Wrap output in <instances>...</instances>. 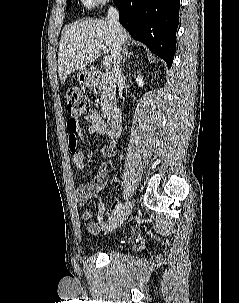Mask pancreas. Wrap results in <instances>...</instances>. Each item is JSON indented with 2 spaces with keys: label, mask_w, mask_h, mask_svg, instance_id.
<instances>
[{
  "label": "pancreas",
  "mask_w": 239,
  "mask_h": 303,
  "mask_svg": "<svg viewBox=\"0 0 239 303\" xmlns=\"http://www.w3.org/2000/svg\"><path fill=\"white\" fill-rule=\"evenodd\" d=\"M110 92L109 89L107 87H103L102 89V96L100 99V106H101V110L103 115L108 114L109 109H110V104H109V100H110Z\"/></svg>",
  "instance_id": "cf45deb5"
}]
</instances>
